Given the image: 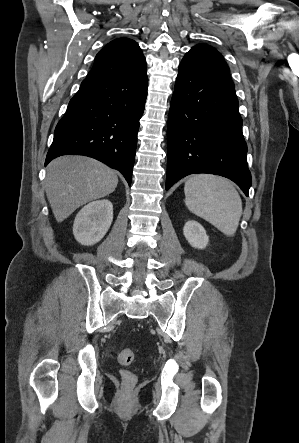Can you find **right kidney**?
<instances>
[{"label": "right kidney", "instance_id": "1", "mask_svg": "<svg viewBox=\"0 0 299 443\" xmlns=\"http://www.w3.org/2000/svg\"><path fill=\"white\" fill-rule=\"evenodd\" d=\"M113 220V205L109 200H97L84 206L73 224L75 239L82 245H94L107 233Z\"/></svg>", "mask_w": 299, "mask_h": 443}]
</instances>
